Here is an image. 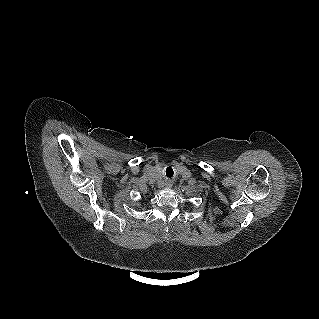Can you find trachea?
Masks as SVG:
<instances>
[{
  "mask_svg": "<svg viewBox=\"0 0 319 319\" xmlns=\"http://www.w3.org/2000/svg\"><path fill=\"white\" fill-rule=\"evenodd\" d=\"M165 173H166L167 178H172L174 175V171H173L172 167H167Z\"/></svg>",
  "mask_w": 319,
  "mask_h": 319,
  "instance_id": "obj_1",
  "label": "trachea"
}]
</instances>
